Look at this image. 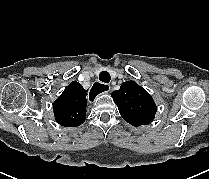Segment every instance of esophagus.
<instances>
[{
  "instance_id": "1",
  "label": "esophagus",
  "mask_w": 209,
  "mask_h": 179,
  "mask_svg": "<svg viewBox=\"0 0 209 179\" xmlns=\"http://www.w3.org/2000/svg\"><path fill=\"white\" fill-rule=\"evenodd\" d=\"M111 87L109 84H100V83H94L93 87L90 90V95L92 97H95L96 95H98L99 93L103 92L104 93H108L110 91Z\"/></svg>"
}]
</instances>
